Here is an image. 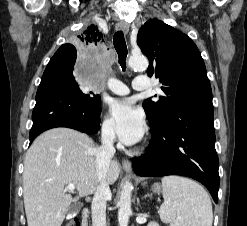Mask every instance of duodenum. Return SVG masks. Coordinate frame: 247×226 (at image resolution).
Returning <instances> with one entry per match:
<instances>
[{
	"label": "duodenum",
	"instance_id": "410a0bca",
	"mask_svg": "<svg viewBox=\"0 0 247 226\" xmlns=\"http://www.w3.org/2000/svg\"><path fill=\"white\" fill-rule=\"evenodd\" d=\"M90 211L88 208H83L81 211V225L87 226Z\"/></svg>",
	"mask_w": 247,
	"mask_h": 226
}]
</instances>
